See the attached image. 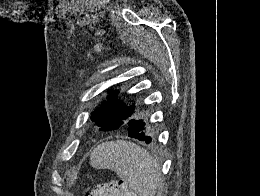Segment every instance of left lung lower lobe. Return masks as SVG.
I'll use <instances>...</instances> for the list:
<instances>
[{
	"label": "left lung lower lobe",
	"instance_id": "left-lung-lower-lobe-1",
	"mask_svg": "<svg viewBox=\"0 0 260 196\" xmlns=\"http://www.w3.org/2000/svg\"><path fill=\"white\" fill-rule=\"evenodd\" d=\"M133 111L127 107H112L105 112L101 121L104 123H120L128 119ZM128 136L144 141L147 144L151 143L153 138L147 134V126L144 123L131 121L128 125Z\"/></svg>",
	"mask_w": 260,
	"mask_h": 196
}]
</instances>
